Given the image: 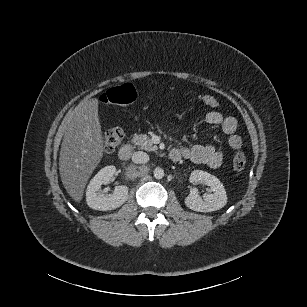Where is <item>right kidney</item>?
I'll use <instances>...</instances> for the list:
<instances>
[{
    "label": "right kidney",
    "mask_w": 307,
    "mask_h": 307,
    "mask_svg": "<svg viewBox=\"0 0 307 307\" xmlns=\"http://www.w3.org/2000/svg\"><path fill=\"white\" fill-rule=\"evenodd\" d=\"M115 172V166H106L102 168L90 181L86 191V201L90 208L107 211L116 209L127 201V186H116L113 193L109 195H105L99 191L102 184L109 183Z\"/></svg>",
    "instance_id": "obj_1"
}]
</instances>
